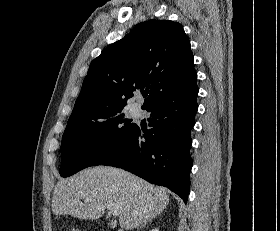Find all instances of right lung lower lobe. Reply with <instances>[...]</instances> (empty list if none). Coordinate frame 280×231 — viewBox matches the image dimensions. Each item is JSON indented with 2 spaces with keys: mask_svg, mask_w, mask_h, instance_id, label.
<instances>
[{
  "mask_svg": "<svg viewBox=\"0 0 280 231\" xmlns=\"http://www.w3.org/2000/svg\"><path fill=\"white\" fill-rule=\"evenodd\" d=\"M197 94L198 87H192L148 107V125L153 128L143 133L136 126L101 165L119 167L152 184L166 186L186 203Z\"/></svg>",
  "mask_w": 280,
  "mask_h": 231,
  "instance_id": "98d812e1",
  "label": "right lung lower lobe"
}]
</instances>
